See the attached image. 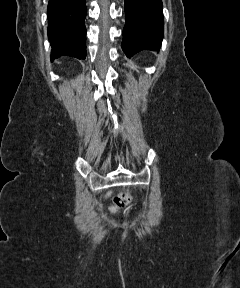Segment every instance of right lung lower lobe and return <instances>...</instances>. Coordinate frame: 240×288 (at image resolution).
Listing matches in <instances>:
<instances>
[{
  "instance_id": "obj_1",
  "label": "right lung lower lobe",
  "mask_w": 240,
  "mask_h": 288,
  "mask_svg": "<svg viewBox=\"0 0 240 288\" xmlns=\"http://www.w3.org/2000/svg\"><path fill=\"white\" fill-rule=\"evenodd\" d=\"M86 13L85 0H49L47 14L51 60L63 55L85 59Z\"/></svg>"
}]
</instances>
